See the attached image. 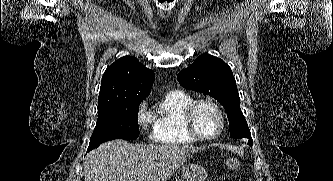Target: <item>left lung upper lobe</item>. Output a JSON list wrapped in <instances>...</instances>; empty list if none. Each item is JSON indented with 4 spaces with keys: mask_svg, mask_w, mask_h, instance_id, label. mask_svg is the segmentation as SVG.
I'll use <instances>...</instances> for the list:
<instances>
[{
    "mask_svg": "<svg viewBox=\"0 0 333 181\" xmlns=\"http://www.w3.org/2000/svg\"><path fill=\"white\" fill-rule=\"evenodd\" d=\"M178 81L186 89L212 96L225 108L232 138H248L251 133L240 109V98L231 68L220 58L209 54L199 56L194 63L179 72Z\"/></svg>",
    "mask_w": 333,
    "mask_h": 181,
    "instance_id": "left-lung-upper-lobe-1",
    "label": "left lung upper lobe"
}]
</instances>
